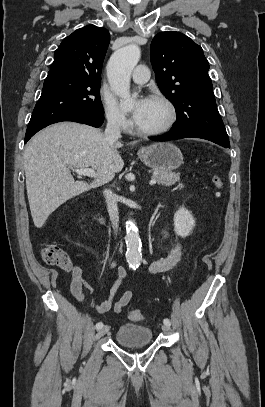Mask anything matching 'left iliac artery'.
<instances>
[{
  "label": "left iliac artery",
  "mask_w": 265,
  "mask_h": 407,
  "mask_svg": "<svg viewBox=\"0 0 265 407\" xmlns=\"http://www.w3.org/2000/svg\"><path fill=\"white\" fill-rule=\"evenodd\" d=\"M163 322H164V324H167V325H170V324H171V322H170V320H169L168 318H165V319L163 320Z\"/></svg>",
  "instance_id": "left-iliac-artery-1"
}]
</instances>
